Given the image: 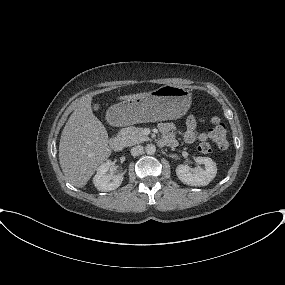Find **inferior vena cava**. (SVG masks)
<instances>
[{"mask_svg":"<svg viewBox=\"0 0 285 285\" xmlns=\"http://www.w3.org/2000/svg\"><path fill=\"white\" fill-rule=\"evenodd\" d=\"M130 152L132 156H138L143 153V146L138 145V146L132 147Z\"/></svg>","mask_w":285,"mask_h":285,"instance_id":"inferior-vena-cava-1","label":"inferior vena cava"}]
</instances>
